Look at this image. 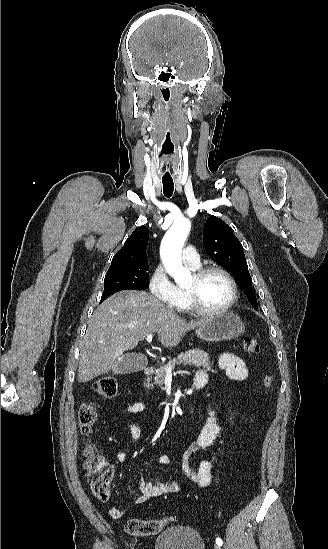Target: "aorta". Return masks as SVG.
<instances>
[{"instance_id": "1", "label": "aorta", "mask_w": 328, "mask_h": 549, "mask_svg": "<svg viewBox=\"0 0 328 549\" xmlns=\"http://www.w3.org/2000/svg\"><path fill=\"white\" fill-rule=\"evenodd\" d=\"M191 223L187 219L175 221L166 232L162 243L160 255L168 273L179 285L185 284L191 279V273L183 267L181 252L184 242L190 232Z\"/></svg>"}]
</instances>
